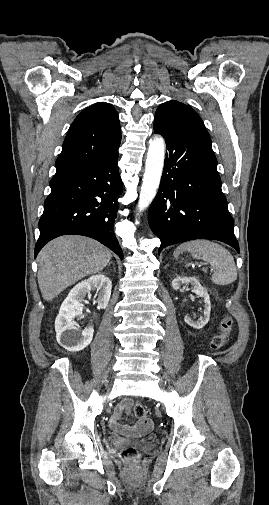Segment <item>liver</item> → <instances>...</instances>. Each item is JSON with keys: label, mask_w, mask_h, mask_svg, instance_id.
<instances>
[{"label": "liver", "mask_w": 269, "mask_h": 505, "mask_svg": "<svg viewBox=\"0 0 269 505\" xmlns=\"http://www.w3.org/2000/svg\"><path fill=\"white\" fill-rule=\"evenodd\" d=\"M111 252L88 237L66 235L49 242L38 254V284L46 301L87 275L101 272Z\"/></svg>", "instance_id": "1"}]
</instances>
